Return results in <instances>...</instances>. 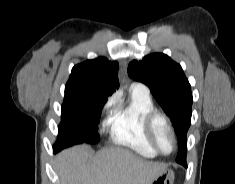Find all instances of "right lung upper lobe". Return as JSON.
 I'll return each mask as SVG.
<instances>
[{
	"instance_id": "obj_1",
	"label": "right lung upper lobe",
	"mask_w": 235,
	"mask_h": 184,
	"mask_svg": "<svg viewBox=\"0 0 235 184\" xmlns=\"http://www.w3.org/2000/svg\"><path fill=\"white\" fill-rule=\"evenodd\" d=\"M117 73L116 61L104 57L87 60L72 68L65 91H88L90 104H105L108 97L119 88Z\"/></svg>"
}]
</instances>
